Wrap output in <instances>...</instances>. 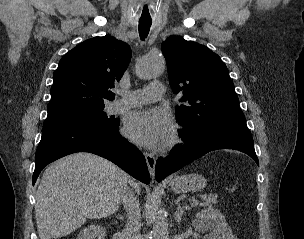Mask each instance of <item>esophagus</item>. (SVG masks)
<instances>
[{
    "instance_id": "1",
    "label": "esophagus",
    "mask_w": 304,
    "mask_h": 239,
    "mask_svg": "<svg viewBox=\"0 0 304 239\" xmlns=\"http://www.w3.org/2000/svg\"><path fill=\"white\" fill-rule=\"evenodd\" d=\"M144 156H145V159H146V163H147L150 175L154 179L156 159H155L153 154L148 153V152H145Z\"/></svg>"
}]
</instances>
